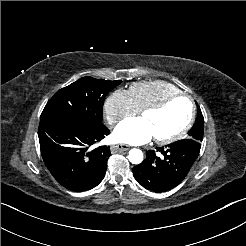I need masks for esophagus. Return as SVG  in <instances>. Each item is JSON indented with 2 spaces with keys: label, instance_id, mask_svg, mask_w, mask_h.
<instances>
[{
  "label": "esophagus",
  "instance_id": "obj_1",
  "mask_svg": "<svg viewBox=\"0 0 246 246\" xmlns=\"http://www.w3.org/2000/svg\"><path fill=\"white\" fill-rule=\"evenodd\" d=\"M112 153H119L129 150V146L125 144H113L110 147Z\"/></svg>",
  "mask_w": 246,
  "mask_h": 246
}]
</instances>
